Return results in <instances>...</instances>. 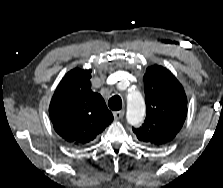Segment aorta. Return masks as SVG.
<instances>
[{
    "label": "aorta",
    "mask_w": 223,
    "mask_h": 188,
    "mask_svg": "<svg viewBox=\"0 0 223 188\" xmlns=\"http://www.w3.org/2000/svg\"><path fill=\"white\" fill-rule=\"evenodd\" d=\"M145 102L142 94L133 91L127 95L126 119L131 125H139L145 117Z\"/></svg>",
    "instance_id": "obj_1"
}]
</instances>
